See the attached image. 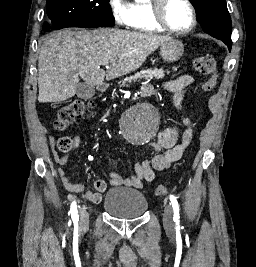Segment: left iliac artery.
<instances>
[{"label":"left iliac artery","instance_id":"obj_1","mask_svg":"<svg viewBox=\"0 0 256 267\" xmlns=\"http://www.w3.org/2000/svg\"><path fill=\"white\" fill-rule=\"evenodd\" d=\"M170 201L174 210V217L173 220L176 223V225H179V205L178 202L176 200V197L174 195H170Z\"/></svg>","mask_w":256,"mask_h":267}]
</instances>
